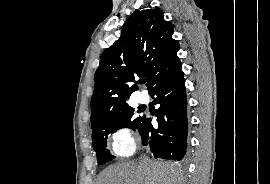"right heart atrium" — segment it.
Returning a JSON list of instances; mask_svg holds the SVG:
<instances>
[{"instance_id": "obj_1", "label": "right heart atrium", "mask_w": 270, "mask_h": 184, "mask_svg": "<svg viewBox=\"0 0 270 184\" xmlns=\"http://www.w3.org/2000/svg\"><path fill=\"white\" fill-rule=\"evenodd\" d=\"M111 148L121 158L130 157L136 150V138L131 128L125 124L117 126L110 135Z\"/></svg>"}]
</instances>
